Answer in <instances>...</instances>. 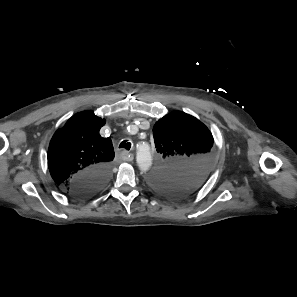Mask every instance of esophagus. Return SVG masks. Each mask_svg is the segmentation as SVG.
<instances>
[{"mask_svg": "<svg viewBox=\"0 0 297 297\" xmlns=\"http://www.w3.org/2000/svg\"><path fill=\"white\" fill-rule=\"evenodd\" d=\"M121 158L124 160V161H132L133 160V154L129 153L128 151H125L123 150L121 152Z\"/></svg>", "mask_w": 297, "mask_h": 297, "instance_id": "1", "label": "esophagus"}]
</instances>
